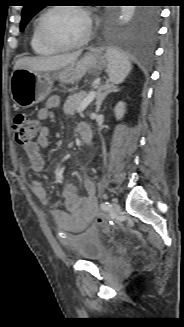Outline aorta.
<instances>
[{"label":"aorta","mask_w":184,"mask_h":327,"mask_svg":"<svg viewBox=\"0 0 184 327\" xmlns=\"http://www.w3.org/2000/svg\"><path fill=\"white\" fill-rule=\"evenodd\" d=\"M121 15L119 16L122 23L129 22L135 14L136 8L135 6H122L121 7Z\"/></svg>","instance_id":"1"}]
</instances>
